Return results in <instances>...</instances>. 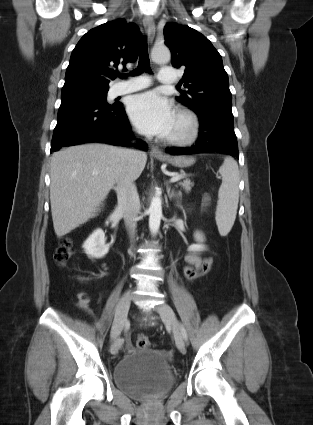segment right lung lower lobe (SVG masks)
<instances>
[{
	"instance_id": "obj_1",
	"label": "right lung lower lobe",
	"mask_w": 313,
	"mask_h": 425,
	"mask_svg": "<svg viewBox=\"0 0 313 425\" xmlns=\"http://www.w3.org/2000/svg\"><path fill=\"white\" fill-rule=\"evenodd\" d=\"M132 138L123 104H108L80 90L62 92L51 152L87 142L128 147ZM136 147L142 150L148 148L140 140Z\"/></svg>"
}]
</instances>
